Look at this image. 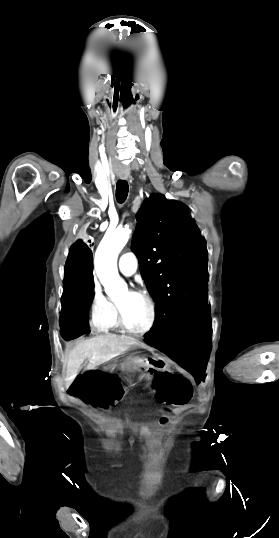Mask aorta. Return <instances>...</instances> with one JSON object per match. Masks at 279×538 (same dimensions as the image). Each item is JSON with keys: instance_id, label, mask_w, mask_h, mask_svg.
Instances as JSON below:
<instances>
[{"instance_id": "762f6f07", "label": "aorta", "mask_w": 279, "mask_h": 538, "mask_svg": "<svg viewBox=\"0 0 279 538\" xmlns=\"http://www.w3.org/2000/svg\"><path fill=\"white\" fill-rule=\"evenodd\" d=\"M130 234L129 228L107 231L95 253L94 266L97 276L105 293L112 299L121 298L128 291L127 284L118 274L117 258Z\"/></svg>"}]
</instances>
